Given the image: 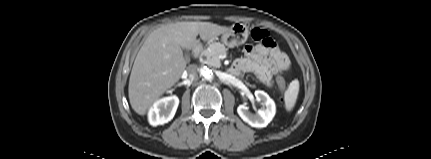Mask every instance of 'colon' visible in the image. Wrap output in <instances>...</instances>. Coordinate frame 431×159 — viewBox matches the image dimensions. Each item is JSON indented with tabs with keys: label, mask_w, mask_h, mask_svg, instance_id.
<instances>
[{
	"label": "colon",
	"mask_w": 431,
	"mask_h": 159,
	"mask_svg": "<svg viewBox=\"0 0 431 159\" xmlns=\"http://www.w3.org/2000/svg\"><path fill=\"white\" fill-rule=\"evenodd\" d=\"M251 37L254 41L262 44H269L270 36L269 32L265 29L254 28L251 31ZM278 90L280 92V103L284 102V92L286 90V82L282 77H278L276 80Z\"/></svg>",
	"instance_id": "colon-1"
}]
</instances>
